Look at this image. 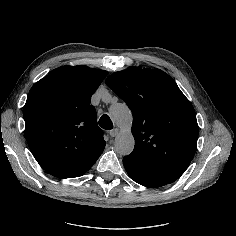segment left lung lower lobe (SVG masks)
<instances>
[{
  "instance_id": "0a47b994",
  "label": "left lung lower lobe",
  "mask_w": 236,
  "mask_h": 236,
  "mask_svg": "<svg viewBox=\"0 0 236 236\" xmlns=\"http://www.w3.org/2000/svg\"><path fill=\"white\" fill-rule=\"evenodd\" d=\"M123 164L129 176L143 186L153 188L170 183L130 160L123 158Z\"/></svg>"
}]
</instances>
